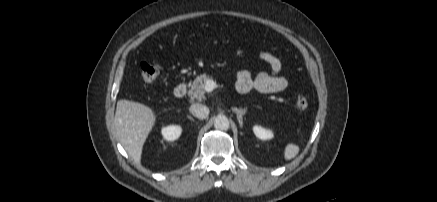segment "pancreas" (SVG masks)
Instances as JSON below:
<instances>
[{
    "instance_id": "1",
    "label": "pancreas",
    "mask_w": 437,
    "mask_h": 202,
    "mask_svg": "<svg viewBox=\"0 0 437 202\" xmlns=\"http://www.w3.org/2000/svg\"><path fill=\"white\" fill-rule=\"evenodd\" d=\"M209 79H211V77L206 74L199 75L194 79L191 84V89L188 92L191 99H205V83Z\"/></svg>"
}]
</instances>
